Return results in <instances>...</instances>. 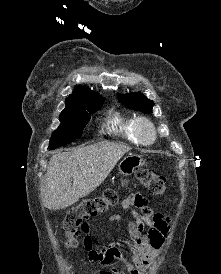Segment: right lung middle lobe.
<instances>
[{"instance_id":"1","label":"right lung middle lobe","mask_w":221,"mask_h":274,"mask_svg":"<svg viewBox=\"0 0 221 274\" xmlns=\"http://www.w3.org/2000/svg\"><path fill=\"white\" fill-rule=\"evenodd\" d=\"M104 102L101 96L82 98L75 103H66L60 114V126L52 133L50 149L66 145L82 135L90 114L99 110Z\"/></svg>"}]
</instances>
